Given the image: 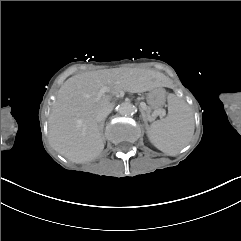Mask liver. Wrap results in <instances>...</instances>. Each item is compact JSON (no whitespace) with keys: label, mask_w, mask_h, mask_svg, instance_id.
Here are the masks:
<instances>
[{"label":"liver","mask_w":241,"mask_h":241,"mask_svg":"<svg viewBox=\"0 0 241 241\" xmlns=\"http://www.w3.org/2000/svg\"><path fill=\"white\" fill-rule=\"evenodd\" d=\"M158 73L138 69L85 72L67 79L58 91L49 116V144L74 163L89 162L104 149L102 125L96 121L100 111L113 107L111 96L124 90L141 93L151 90Z\"/></svg>","instance_id":"liver-1"}]
</instances>
